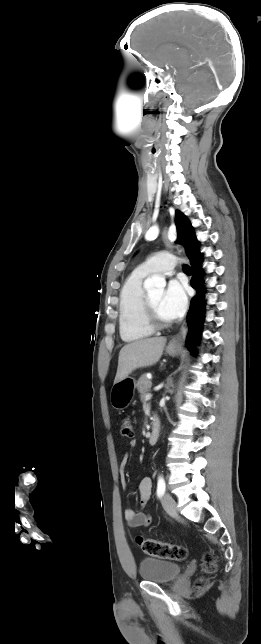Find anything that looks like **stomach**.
Returning a JSON list of instances; mask_svg holds the SVG:
<instances>
[{"label":"stomach","instance_id":"1","mask_svg":"<svg viewBox=\"0 0 261 644\" xmlns=\"http://www.w3.org/2000/svg\"><path fill=\"white\" fill-rule=\"evenodd\" d=\"M166 352L170 356L184 355L185 352L181 345L169 344ZM136 381L134 378L127 376L123 380L115 383L110 392V402L114 409L123 410L132 402L135 394Z\"/></svg>","mask_w":261,"mask_h":644}]
</instances>
